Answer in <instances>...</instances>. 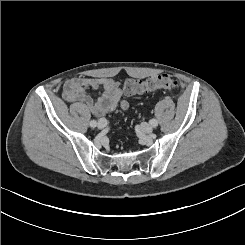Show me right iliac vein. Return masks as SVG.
Returning <instances> with one entry per match:
<instances>
[{"mask_svg": "<svg viewBox=\"0 0 245 245\" xmlns=\"http://www.w3.org/2000/svg\"><path fill=\"white\" fill-rule=\"evenodd\" d=\"M97 126L99 129H104L107 126L106 119H104V118L99 119Z\"/></svg>", "mask_w": 245, "mask_h": 245, "instance_id": "63e3f726", "label": "right iliac vein"}]
</instances>
